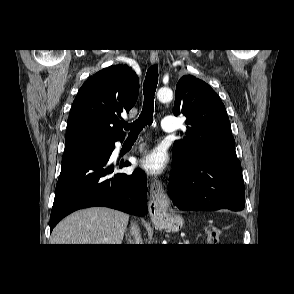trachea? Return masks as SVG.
I'll use <instances>...</instances> for the list:
<instances>
[{"label":"trachea","instance_id":"trachea-1","mask_svg":"<svg viewBox=\"0 0 294 294\" xmlns=\"http://www.w3.org/2000/svg\"><path fill=\"white\" fill-rule=\"evenodd\" d=\"M158 83V67L153 65L146 73L145 81L143 84L144 102L140 116L133 123H124L123 127L130 130L129 136H138L140 131L146 126L151 125L153 122L154 112V96Z\"/></svg>","mask_w":294,"mask_h":294}]
</instances>
